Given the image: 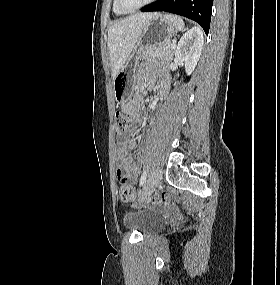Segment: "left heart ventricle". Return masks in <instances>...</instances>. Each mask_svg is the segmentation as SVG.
Returning <instances> with one entry per match:
<instances>
[{
	"label": "left heart ventricle",
	"mask_w": 280,
	"mask_h": 285,
	"mask_svg": "<svg viewBox=\"0 0 280 285\" xmlns=\"http://www.w3.org/2000/svg\"><path fill=\"white\" fill-rule=\"evenodd\" d=\"M124 5L127 7H134L142 4L146 0H122Z\"/></svg>",
	"instance_id": "b2bd125f"
}]
</instances>
